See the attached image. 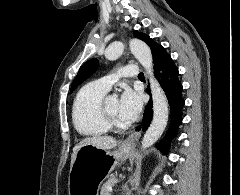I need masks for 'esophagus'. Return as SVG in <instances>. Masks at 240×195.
<instances>
[{
  "instance_id": "obj_1",
  "label": "esophagus",
  "mask_w": 240,
  "mask_h": 195,
  "mask_svg": "<svg viewBox=\"0 0 240 195\" xmlns=\"http://www.w3.org/2000/svg\"><path fill=\"white\" fill-rule=\"evenodd\" d=\"M140 137V132H132L129 137H127L123 143H122V147L123 149L126 148H131L135 145L136 141L139 139Z\"/></svg>"
}]
</instances>
